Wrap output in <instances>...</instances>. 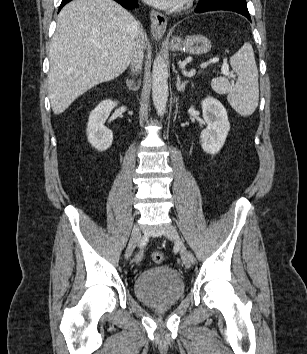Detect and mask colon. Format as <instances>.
I'll return each instance as SVG.
<instances>
[{
	"instance_id": "obj_1",
	"label": "colon",
	"mask_w": 307,
	"mask_h": 354,
	"mask_svg": "<svg viewBox=\"0 0 307 354\" xmlns=\"http://www.w3.org/2000/svg\"><path fill=\"white\" fill-rule=\"evenodd\" d=\"M152 260L155 262V263H161L163 261V255L162 253L160 252H154L152 254Z\"/></svg>"
}]
</instances>
